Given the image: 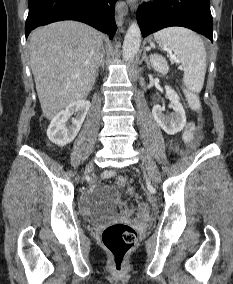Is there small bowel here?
<instances>
[{
    "mask_svg": "<svg viewBox=\"0 0 233 284\" xmlns=\"http://www.w3.org/2000/svg\"><path fill=\"white\" fill-rule=\"evenodd\" d=\"M189 125H194V124H192V123H189Z\"/></svg>",
    "mask_w": 233,
    "mask_h": 284,
    "instance_id": "1",
    "label": "small bowel"
}]
</instances>
